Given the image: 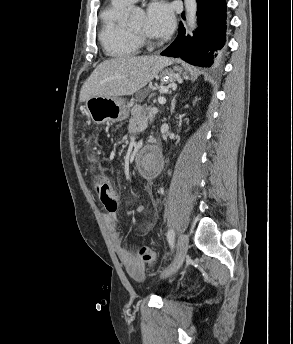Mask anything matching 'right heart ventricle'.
Returning <instances> with one entry per match:
<instances>
[{"label": "right heart ventricle", "mask_w": 293, "mask_h": 344, "mask_svg": "<svg viewBox=\"0 0 293 344\" xmlns=\"http://www.w3.org/2000/svg\"><path fill=\"white\" fill-rule=\"evenodd\" d=\"M128 6L111 0L101 11L99 39L110 57H133L140 53V42L128 33L127 27L121 22Z\"/></svg>", "instance_id": "1"}]
</instances>
